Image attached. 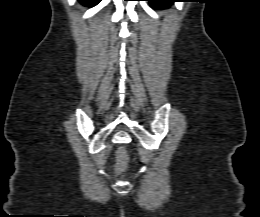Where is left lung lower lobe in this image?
Wrapping results in <instances>:
<instances>
[{"label": "left lung lower lobe", "instance_id": "left-lung-lower-lobe-1", "mask_svg": "<svg viewBox=\"0 0 260 217\" xmlns=\"http://www.w3.org/2000/svg\"><path fill=\"white\" fill-rule=\"evenodd\" d=\"M151 3L152 7L157 9L168 8L173 2L177 0H147Z\"/></svg>", "mask_w": 260, "mask_h": 217}]
</instances>
